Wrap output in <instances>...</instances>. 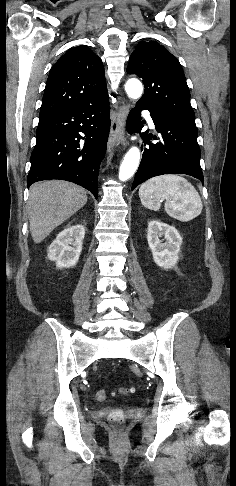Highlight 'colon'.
Segmentation results:
<instances>
[{"instance_id":"5ec220e1","label":"colon","mask_w":236,"mask_h":486,"mask_svg":"<svg viewBox=\"0 0 236 486\" xmlns=\"http://www.w3.org/2000/svg\"><path fill=\"white\" fill-rule=\"evenodd\" d=\"M136 391V387L134 386H126V387H121L119 388L118 392L122 395H128L131 393H134ZM107 392L104 389H100L96 392L95 397L98 401L103 402L107 399ZM109 419L112 422L113 426L116 429H120L123 426L124 423V414L122 409L116 408L114 409L110 415Z\"/></svg>"}]
</instances>
